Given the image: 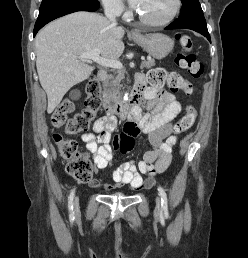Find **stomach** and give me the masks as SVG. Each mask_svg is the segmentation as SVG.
Returning a JSON list of instances; mask_svg holds the SVG:
<instances>
[{
	"mask_svg": "<svg viewBox=\"0 0 248 258\" xmlns=\"http://www.w3.org/2000/svg\"><path fill=\"white\" fill-rule=\"evenodd\" d=\"M132 38L149 55L156 59L165 58L174 47V41L169 36L161 33L136 34Z\"/></svg>",
	"mask_w": 248,
	"mask_h": 258,
	"instance_id": "obj_1",
	"label": "stomach"
}]
</instances>
